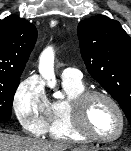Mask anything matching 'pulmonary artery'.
Returning <instances> with one entry per match:
<instances>
[{
    "label": "pulmonary artery",
    "instance_id": "obj_1",
    "mask_svg": "<svg viewBox=\"0 0 131 151\" xmlns=\"http://www.w3.org/2000/svg\"><path fill=\"white\" fill-rule=\"evenodd\" d=\"M62 79L64 80H72V81H80L82 79L81 72L73 67H67L62 71Z\"/></svg>",
    "mask_w": 131,
    "mask_h": 151
}]
</instances>
